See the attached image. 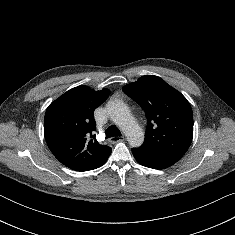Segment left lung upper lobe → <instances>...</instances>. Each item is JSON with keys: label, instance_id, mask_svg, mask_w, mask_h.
Returning <instances> with one entry per match:
<instances>
[{"label": "left lung upper lobe", "instance_id": "left-lung-upper-lobe-1", "mask_svg": "<svg viewBox=\"0 0 235 235\" xmlns=\"http://www.w3.org/2000/svg\"><path fill=\"white\" fill-rule=\"evenodd\" d=\"M123 91L146 113L142 147L183 156L193 138V113L187 99L154 75L142 76L124 86Z\"/></svg>", "mask_w": 235, "mask_h": 235}]
</instances>
